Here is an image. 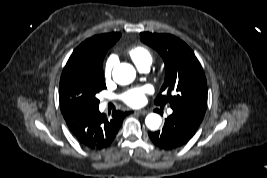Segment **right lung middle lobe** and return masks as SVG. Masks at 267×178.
Instances as JSON below:
<instances>
[{
    "label": "right lung middle lobe",
    "mask_w": 267,
    "mask_h": 178,
    "mask_svg": "<svg viewBox=\"0 0 267 178\" xmlns=\"http://www.w3.org/2000/svg\"><path fill=\"white\" fill-rule=\"evenodd\" d=\"M107 50L108 47L103 50L104 55ZM105 88L102 60L64 68L59 86L61 111L74 106L97 108L99 100L96 94Z\"/></svg>",
    "instance_id": "right-lung-middle-lobe-1"
}]
</instances>
